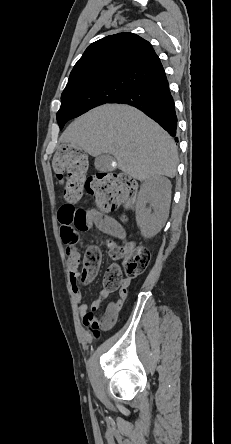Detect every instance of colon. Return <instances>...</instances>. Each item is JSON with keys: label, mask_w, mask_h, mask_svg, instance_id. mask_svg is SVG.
<instances>
[{"label": "colon", "mask_w": 231, "mask_h": 444, "mask_svg": "<svg viewBox=\"0 0 231 444\" xmlns=\"http://www.w3.org/2000/svg\"><path fill=\"white\" fill-rule=\"evenodd\" d=\"M53 169L57 178L65 181L64 195L68 203L63 210L62 222L76 231H87L95 227L103 212H112L121 205L133 203L137 183L120 173H102L86 178L87 159L85 154L71 146H60L53 158ZM85 190L96 201L99 211L85 210L74 206ZM110 255L115 261L104 275L103 284L107 292L118 290L125 277L134 278L143 274L151 259L149 250L132 244L118 246L110 244ZM101 262V251L97 246L86 249L83 257L81 283L90 280Z\"/></svg>", "instance_id": "5ec220e1"}]
</instances>
